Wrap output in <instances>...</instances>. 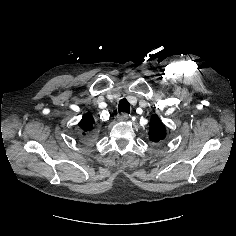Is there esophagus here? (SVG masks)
Returning <instances> with one entry per match:
<instances>
[{
    "label": "esophagus",
    "instance_id": "esophagus-1",
    "mask_svg": "<svg viewBox=\"0 0 236 236\" xmlns=\"http://www.w3.org/2000/svg\"><path fill=\"white\" fill-rule=\"evenodd\" d=\"M129 118V115L126 114V113H121L118 115V119L121 120V121H125Z\"/></svg>",
    "mask_w": 236,
    "mask_h": 236
}]
</instances>
